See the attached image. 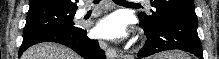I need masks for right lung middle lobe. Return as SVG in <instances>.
Listing matches in <instances>:
<instances>
[{"mask_svg": "<svg viewBox=\"0 0 219 59\" xmlns=\"http://www.w3.org/2000/svg\"><path fill=\"white\" fill-rule=\"evenodd\" d=\"M75 11L47 9L27 14L23 37L47 30H76L73 18Z\"/></svg>", "mask_w": 219, "mask_h": 59, "instance_id": "1", "label": "right lung middle lobe"}]
</instances>
